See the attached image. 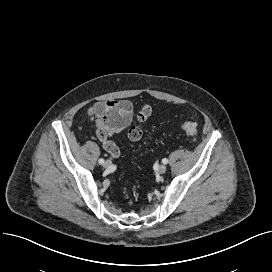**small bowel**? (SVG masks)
I'll return each mask as SVG.
<instances>
[{"mask_svg":"<svg viewBox=\"0 0 272 272\" xmlns=\"http://www.w3.org/2000/svg\"><path fill=\"white\" fill-rule=\"evenodd\" d=\"M106 105L114 106L118 108L119 110H121L122 113L127 114L129 116V121L126 123V125L130 122L131 116L133 113V105L129 100H109L106 102H98L92 106L91 111L92 113L98 115L97 110ZM139 115H144L143 122H146L147 120L150 119L152 115L151 107L149 105H144L137 115V120H139ZM129 139L133 142L140 140V139H133L130 137ZM100 140L104 150L108 154H110V156H112L113 158H119L121 156V149L113 141L109 140L107 136L100 138Z\"/></svg>","mask_w":272,"mask_h":272,"instance_id":"c3829d8e","label":"small bowel"}]
</instances>
